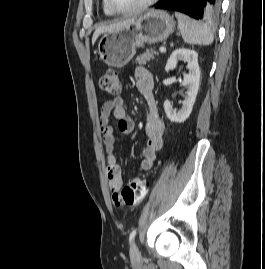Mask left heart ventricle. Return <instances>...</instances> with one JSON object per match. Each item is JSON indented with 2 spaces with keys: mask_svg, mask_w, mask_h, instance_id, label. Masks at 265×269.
I'll use <instances>...</instances> for the list:
<instances>
[{
  "mask_svg": "<svg viewBox=\"0 0 265 269\" xmlns=\"http://www.w3.org/2000/svg\"><path fill=\"white\" fill-rule=\"evenodd\" d=\"M146 0H113L114 5L119 9H129L136 7Z\"/></svg>",
  "mask_w": 265,
  "mask_h": 269,
  "instance_id": "b2bd125f",
  "label": "left heart ventricle"
}]
</instances>
